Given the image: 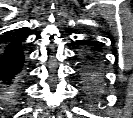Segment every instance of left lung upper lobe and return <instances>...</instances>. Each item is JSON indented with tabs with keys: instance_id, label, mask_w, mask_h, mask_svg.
<instances>
[{
	"instance_id": "1",
	"label": "left lung upper lobe",
	"mask_w": 133,
	"mask_h": 118,
	"mask_svg": "<svg viewBox=\"0 0 133 118\" xmlns=\"http://www.w3.org/2000/svg\"><path fill=\"white\" fill-rule=\"evenodd\" d=\"M85 94L88 97L89 101H91L93 104H99V102H101L99 100V97L97 94L93 93L90 90H85Z\"/></svg>"
}]
</instances>
